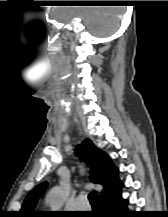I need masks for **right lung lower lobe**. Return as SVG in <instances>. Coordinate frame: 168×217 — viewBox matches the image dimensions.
Here are the masks:
<instances>
[{"label": "right lung lower lobe", "instance_id": "98d812e1", "mask_svg": "<svg viewBox=\"0 0 168 217\" xmlns=\"http://www.w3.org/2000/svg\"><path fill=\"white\" fill-rule=\"evenodd\" d=\"M127 200L121 196V190L100 202V217H134L135 214L127 209Z\"/></svg>", "mask_w": 168, "mask_h": 217}]
</instances>
